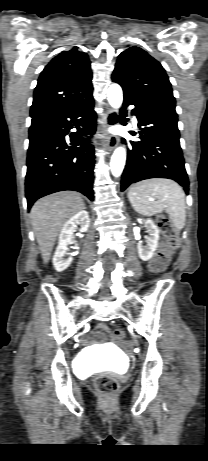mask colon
<instances>
[{
	"label": "colon",
	"instance_id": "obj_1",
	"mask_svg": "<svg viewBox=\"0 0 208 461\" xmlns=\"http://www.w3.org/2000/svg\"><path fill=\"white\" fill-rule=\"evenodd\" d=\"M157 225L166 241L162 244L151 262L152 268L156 271L163 269L167 265L171 252L179 243L177 230L169 218L163 215L159 216L157 218ZM114 336L121 341L125 338L122 330H115ZM94 388L101 397L110 398L118 390L119 383L112 376L100 375L95 379Z\"/></svg>",
	"mask_w": 208,
	"mask_h": 461
}]
</instances>
